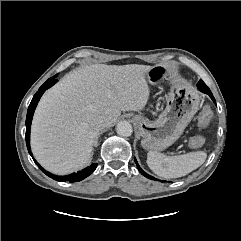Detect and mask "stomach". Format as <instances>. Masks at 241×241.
I'll return each mask as SVG.
<instances>
[{
    "instance_id": "stomach-1",
    "label": "stomach",
    "mask_w": 241,
    "mask_h": 241,
    "mask_svg": "<svg viewBox=\"0 0 241 241\" xmlns=\"http://www.w3.org/2000/svg\"><path fill=\"white\" fill-rule=\"evenodd\" d=\"M172 67L157 64L147 73L151 85L161 86L172 76ZM200 97L185 83H172L165 110L155 121L136 115L133 121L142 136L141 145L146 150L162 151L172 145L183 133L197 112Z\"/></svg>"
}]
</instances>
